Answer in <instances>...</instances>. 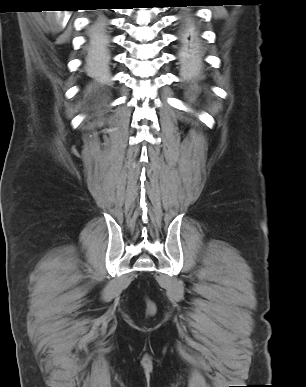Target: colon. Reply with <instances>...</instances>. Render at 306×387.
<instances>
[{
  "instance_id": "colon-1",
  "label": "colon",
  "mask_w": 306,
  "mask_h": 387,
  "mask_svg": "<svg viewBox=\"0 0 306 387\" xmlns=\"http://www.w3.org/2000/svg\"><path fill=\"white\" fill-rule=\"evenodd\" d=\"M146 311L148 315H153L156 311L155 304L149 299H146Z\"/></svg>"
}]
</instances>
